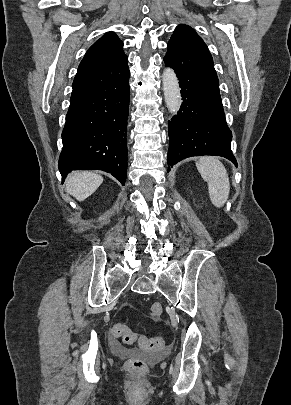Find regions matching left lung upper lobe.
Listing matches in <instances>:
<instances>
[{
	"label": "left lung upper lobe",
	"instance_id": "5c2ea615",
	"mask_svg": "<svg viewBox=\"0 0 291 405\" xmlns=\"http://www.w3.org/2000/svg\"><path fill=\"white\" fill-rule=\"evenodd\" d=\"M176 39L182 40L193 46L208 50L207 45L198 36V34L195 32V30L187 25H179L178 27H176L174 34L171 37V40H176Z\"/></svg>",
	"mask_w": 291,
	"mask_h": 405
}]
</instances>
